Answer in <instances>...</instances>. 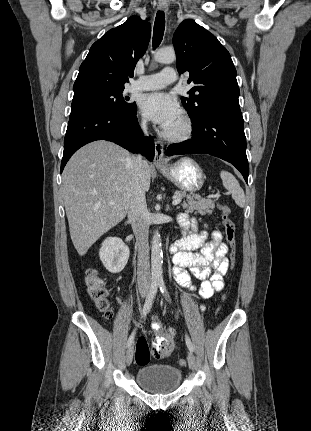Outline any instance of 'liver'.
Masks as SVG:
<instances>
[{
  "instance_id": "obj_1",
  "label": "liver",
  "mask_w": 311,
  "mask_h": 431,
  "mask_svg": "<svg viewBox=\"0 0 311 431\" xmlns=\"http://www.w3.org/2000/svg\"><path fill=\"white\" fill-rule=\"evenodd\" d=\"M134 170L135 156L105 140L83 146L65 166L62 198L79 255H85L96 239L126 216ZM142 174L148 192L151 168L147 160H142Z\"/></svg>"
}]
</instances>
